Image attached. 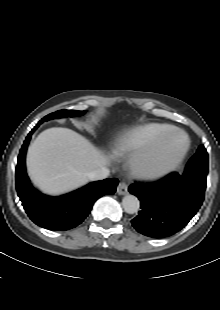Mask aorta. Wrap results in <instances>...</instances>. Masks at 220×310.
Masks as SVG:
<instances>
[{"label": "aorta", "instance_id": "1", "mask_svg": "<svg viewBox=\"0 0 220 310\" xmlns=\"http://www.w3.org/2000/svg\"><path fill=\"white\" fill-rule=\"evenodd\" d=\"M122 206L126 213L134 214L138 212L139 207H140V202L136 196L129 194L123 198Z\"/></svg>", "mask_w": 220, "mask_h": 310}]
</instances>
